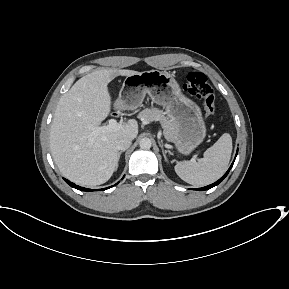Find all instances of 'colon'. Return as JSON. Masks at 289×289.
Returning <instances> with one entry per match:
<instances>
[{"label": "colon", "instance_id": "colon-1", "mask_svg": "<svg viewBox=\"0 0 289 289\" xmlns=\"http://www.w3.org/2000/svg\"><path fill=\"white\" fill-rule=\"evenodd\" d=\"M182 88L185 92L203 100L206 117H210L214 114L216 106L215 91L203 73H186Z\"/></svg>", "mask_w": 289, "mask_h": 289}]
</instances>
